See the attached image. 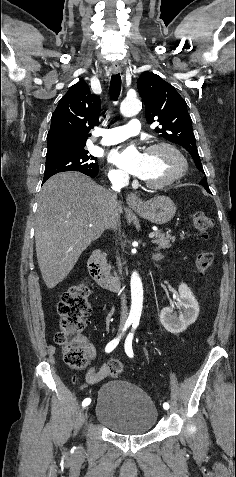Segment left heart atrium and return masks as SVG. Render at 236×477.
<instances>
[{
	"label": "left heart atrium",
	"mask_w": 236,
	"mask_h": 477,
	"mask_svg": "<svg viewBox=\"0 0 236 477\" xmlns=\"http://www.w3.org/2000/svg\"><path fill=\"white\" fill-rule=\"evenodd\" d=\"M111 161L127 173L143 178L146 154L135 145H129L111 153Z\"/></svg>",
	"instance_id": "left-heart-atrium-1"
}]
</instances>
